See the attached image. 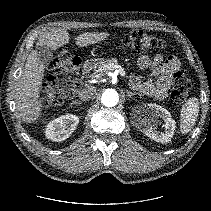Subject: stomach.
Wrapping results in <instances>:
<instances>
[{"label": "stomach", "instance_id": "0dacf381", "mask_svg": "<svg viewBox=\"0 0 211 211\" xmlns=\"http://www.w3.org/2000/svg\"><path fill=\"white\" fill-rule=\"evenodd\" d=\"M96 61H97L98 63H101V62H102V60H100V59H99V60H96Z\"/></svg>", "mask_w": 211, "mask_h": 211}]
</instances>
